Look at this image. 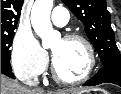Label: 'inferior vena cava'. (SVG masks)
Listing matches in <instances>:
<instances>
[{
  "mask_svg": "<svg viewBox=\"0 0 121 94\" xmlns=\"http://www.w3.org/2000/svg\"><path fill=\"white\" fill-rule=\"evenodd\" d=\"M39 84V81L38 80H34V82H33V86H37Z\"/></svg>",
  "mask_w": 121,
  "mask_h": 94,
  "instance_id": "obj_1",
  "label": "inferior vena cava"
}]
</instances>
